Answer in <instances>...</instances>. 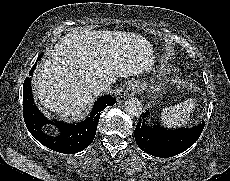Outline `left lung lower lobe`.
Here are the masks:
<instances>
[{"instance_id": "left-lung-lower-lobe-1", "label": "left lung lower lobe", "mask_w": 230, "mask_h": 181, "mask_svg": "<svg viewBox=\"0 0 230 181\" xmlns=\"http://www.w3.org/2000/svg\"><path fill=\"white\" fill-rule=\"evenodd\" d=\"M203 128L204 122L190 129L169 130L159 125L152 127L145 123L143 116V119H139L134 136L141 150L156 157L166 158L191 147L198 140Z\"/></svg>"}]
</instances>
